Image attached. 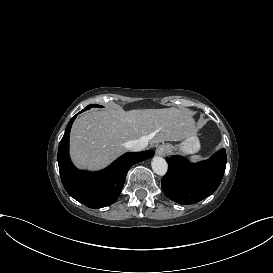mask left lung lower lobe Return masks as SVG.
<instances>
[{"instance_id":"obj_1","label":"left lung lower lobe","mask_w":273,"mask_h":273,"mask_svg":"<svg viewBox=\"0 0 273 273\" xmlns=\"http://www.w3.org/2000/svg\"><path fill=\"white\" fill-rule=\"evenodd\" d=\"M225 149L209 160L197 164L188 162L181 156L166 158L168 172L161 180L164 194L172 201L195 204L211 195L221 183L226 167Z\"/></svg>"}]
</instances>
